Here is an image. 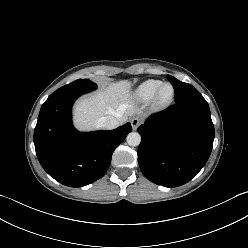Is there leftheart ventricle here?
Listing matches in <instances>:
<instances>
[{"instance_id":"1","label":"left heart ventricle","mask_w":248,"mask_h":248,"mask_svg":"<svg viewBox=\"0 0 248 248\" xmlns=\"http://www.w3.org/2000/svg\"><path fill=\"white\" fill-rule=\"evenodd\" d=\"M170 93H171V89L169 87H166L162 91V97L167 98L170 95Z\"/></svg>"}]
</instances>
